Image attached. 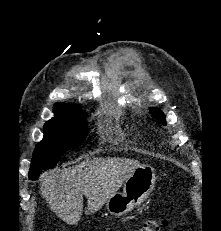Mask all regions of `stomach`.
I'll return each instance as SVG.
<instances>
[{
  "instance_id": "obj_1",
  "label": "stomach",
  "mask_w": 221,
  "mask_h": 231,
  "mask_svg": "<svg viewBox=\"0 0 221 231\" xmlns=\"http://www.w3.org/2000/svg\"><path fill=\"white\" fill-rule=\"evenodd\" d=\"M155 169L149 165L138 167L124 182L123 191L117 192L106 202L108 212L121 216L144 202L156 183Z\"/></svg>"
}]
</instances>
